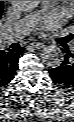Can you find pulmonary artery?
<instances>
[{
    "label": "pulmonary artery",
    "instance_id": "pulmonary-artery-1",
    "mask_svg": "<svg viewBox=\"0 0 74 122\" xmlns=\"http://www.w3.org/2000/svg\"><path fill=\"white\" fill-rule=\"evenodd\" d=\"M44 2L47 3L49 1ZM38 20L39 15L33 14L28 16L24 20L16 23L12 28L2 33L3 42L9 44L19 40L34 27V25L38 22Z\"/></svg>",
    "mask_w": 74,
    "mask_h": 122
}]
</instances>
